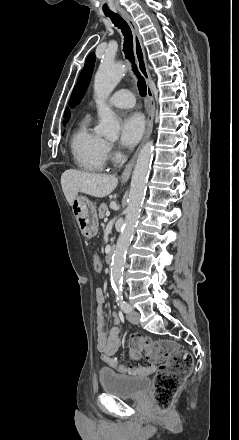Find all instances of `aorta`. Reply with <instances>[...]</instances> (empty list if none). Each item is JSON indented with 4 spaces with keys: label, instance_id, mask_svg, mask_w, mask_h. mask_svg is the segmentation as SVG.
Wrapping results in <instances>:
<instances>
[{
    "label": "aorta",
    "instance_id": "1",
    "mask_svg": "<svg viewBox=\"0 0 239 440\" xmlns=\"http://www.w3.org/2000/svg\"><path fill=\"white\" fill-rule=\"evenodd\" d=\"M126 68L122 64H114L108 60H102L94 80V100L96 102L98 116L101 118L99 126H96V134L104 136L105 140H118L120 126L118 116L107 106L105 100L121 82ZM153 152V142H147L140 150L133 170L129 194V202L126 208V218L123 230L117 240L115 252L112 256L110 280L115 288H121L123 268L126 254L134 234L135 226L140 216L144 202L146 184L150 172V162Z\"/></svg>",
    "mask_w": 239,
    "mask_h": 440
}]
</instances>
